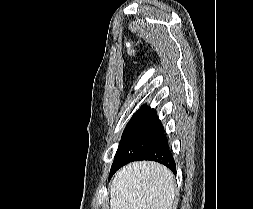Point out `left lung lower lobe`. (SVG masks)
<instances>
[{
	"label": "left lung lower lobe",
	"instance_id": "0a47b994",
	"mask_svg": "<svg viewBox=\"0 0 253 209\" xmlns=\"http://www.w3.org/2000/svg\"><path fill=\"white\" fill-rule=\"evenodd\" d=\"M151 160L159 162L167 166L174 174H176V165L172 153L168 146L167 137L163 133L154 140L149 146L142 150L137 155L127 156L121 160H116L113 162L109 179L114 175V173L124 165L133 161Z\"/></svg>",
	"mask_w": 253,
	"mask_h": 209
}]
</instances>
